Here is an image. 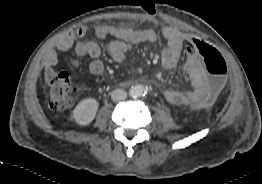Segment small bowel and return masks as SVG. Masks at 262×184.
<instances>
[{"label": "small bowel", "instance_id": "1", "mask_svg": "<svg viewBox=\"0 0 262 184\" xmlns=\"http://www.w3.org/2000/svg\"><path fill=\"white\" fill-rule=\"evenodd\" d=\"M91 30L86 26L79 27L75 32H69L56 41V51L49 52L45 57V71L50 74L58 63L60 52H66L74 47L78 56H87L91 59L89 70L93 75L99 76L104 71V63L101 60V49L92 41H82L75 43L77 38H85ZM93 33L104 38L112 35L116 39L108 45V53L113 61L123 63L126 60L127 53L133 46L158 40L157 33L152 29L135 30L127 27L113 25H97L93 28ZM185 32L168 27L163 30V37L166 41V47L161 54V62L165 69H173L178 64L183 45L187 39ZM183 58L187 59L182 65V76L188 84H193L187 92L178 90H167L164 93L166 101L175 106H189L194 110H202L208 107L213 100L208 97L209 87L206 84V75L204 65L196 57L192 47L183 51Z\"/></svg>", "mask_w": 262, "mask_h": 184}]
</instances>
